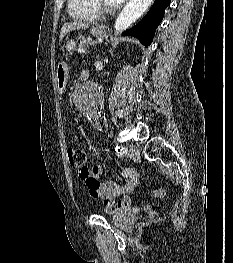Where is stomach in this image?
<instances>
[{"mask_svg": "<svg viewBox=\"0 0 233 263\" xmlns=\"http://www.w3.org/2000/svg\"><path fill=\"white\" fill-rule=\"evenodd\" d=\"M90 33L94 37H104L106 35L105 26L102 24H96L90 29ZM67 50L71 53L76 49V42L71 40L66 45ZM68 65L65 62L58 63L56 70V81L57 86L60 91H63L66 87L67 79H68Z\"/></svg>", "mask_w": 233, "mask_h": 263, "instance_id": "stomach-1", "label": "stomach"}]
</instances>
